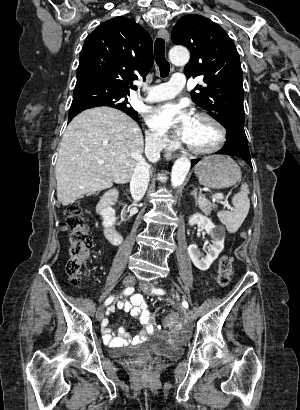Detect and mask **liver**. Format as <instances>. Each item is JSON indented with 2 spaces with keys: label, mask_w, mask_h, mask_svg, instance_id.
Returning <instances> with one entry per match:
<instances>
[{
  "label": "liver",
  "mask_w": 300,
  "mask_h": 410,
  "mask_svg": "<svg viewBox=\"0 0 300 410\" xmlns=\"http://www.w3.org/2000/svg\"><path fill=\"white\" fill-rule=\"evenodd\" d=\"M138 124L120 110L87 109L68 125L55 167L57 199L67 206L83 195L126 184L144 160ZM103 164H98V160ZM145 161V160H144Z\"/></svg>",
  "instance_id": "liver-1"
}]
</instances>
